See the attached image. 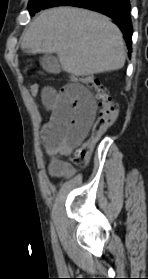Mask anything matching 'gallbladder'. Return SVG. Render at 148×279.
I'll list each match as a JSON object with an SVG mask.
<instances>
[{
    "mask_svg": "<svg viewBox=\"0 0 148 279\" xmlns=\"http://www.w3.org/2000/svg\"><path fill=\"white\" fill-rule=\"evenodd\" d=\"M39 63L41 67L50 74H59L61 71L59 61L52 54H44L39 58Z\"/></svg>",
    "mask_w": 148,
    "mask_h": 279,
    "instance_id": "bac80fb5",
    "label": "gallbladder"
}]
</instances>
